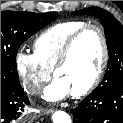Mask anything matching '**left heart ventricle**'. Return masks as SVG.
<instances>
[{
	"label": "left heart ventricle",
	"mask_w": 123,
	"mask_h": 123,
	"mask_svg": "<svg viewBox=\"0 0 123 123\" xmlns=\"http://www.w3.org/2000/svg\"><path fill=\"white\" fill-rule=\"evenodd\" d=\"M102 54L99 34L95 30L84 33L75 43L68 62L58 71L57 78L76 92L94 77Z\"/></svg>",
	"instance_id": "left-heart-ventricle-1"
}]
</instances>
